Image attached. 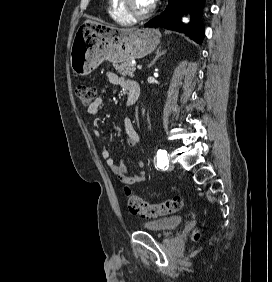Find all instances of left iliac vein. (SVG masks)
<instances>
[{
    "label": "left iliac vein",
    "mask_w": 272,
    "mask_h": 282,
    "mask_svg": "<svg viewBox=\"0 0 272 282\" xmlns=\"http://www.w3.org/2000/svg\"><path fill=\"white\" fill-rule=\"evenodd\" d=\"M168 168L169 169H173L174 168V165L172 164L170 157H169V160H168Z\"/></svg>",
    "instance_id": "obj_1"
}]
</instances>
